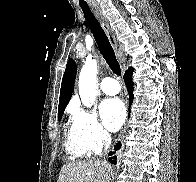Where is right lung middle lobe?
Returning a JSON list of instances; mask_svg holds the SVG:
<instances>
[{"label":"right lung middle lobe","mask_w":196,"mask_h":182,"mask_svg":"<svg viewBox=\"0 0 196 182\" xmlns=\"http://www.w3.org/2000/svg\"><path fill=\"white\" fill-rule=\"evenodd\" d=\"M61 117H62V115H58V119H59V121H60Z\"/></svg>","instance_id":"right-lung-middle-lobe-1"}]
</instances>
